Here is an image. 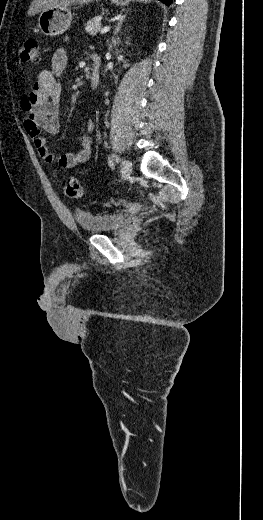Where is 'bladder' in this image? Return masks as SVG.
<instances>
[{"instance_id":"31cf9c89","label":"bladder","mask_w":263,"mask_h":520,"mask_svg":"<svg viewBox=\"0 0 263 520\" xmlns=\"http://www.w3.org/2000/svg\"><path fill=\"white\" fill-rule=\"evenodd\" d=\"M79 227L88 233L116 231L124 227L127 216L121 213L80 212L75 216Z\"/></svg>"}]
</instances>
